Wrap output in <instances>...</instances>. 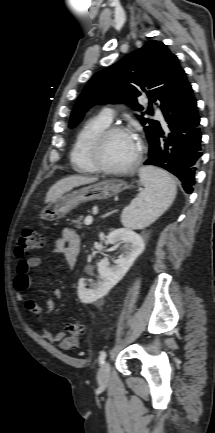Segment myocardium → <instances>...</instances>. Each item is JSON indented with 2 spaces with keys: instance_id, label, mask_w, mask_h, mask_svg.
I'll use <instances>...</instances> for the list:
<instances>
[{
  "instance_id": "1",
  "label": "myocardium",
  "mask_w": 215,
  "mask_h": 433,
  "mask_svg": "<svg viewBox=\"0 0 215 433\" xmlns=\"http://www.w3.org/2000/svg\"><path fill=\"white\" fill-rule=\"evenodd\" d=\"M115 133H123L133 136L137 141V150L135 153L134 158L130 163L127 165L120 167V168H110L105 166L100 159V151L104 144V142L113 134ZM143 143L142 141L134 135V133L127 127L120 126V125H110L103 129L101 132H99L94 139L92 140L90 146H89V159L96 171L106 173V174H112V175H121L128 173L135 169L142 158L143 154Z\"/></svg>"
}]
</instances>
